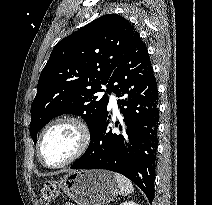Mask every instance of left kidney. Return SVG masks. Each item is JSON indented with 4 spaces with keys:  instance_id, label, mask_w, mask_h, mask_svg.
<instances>
[{
    "instance_id": "1",
    "label": "left kidney",
    "mask_w": 212,
    "mask_h": 205,
    "mask_svg": "<svg viewBox=\"0 0 212 205\" xmlns=\"http://www.w3.org/2000/svg\"><path fill=\"white\" fill-rule=\"evenodd\" d=\"M121 205H137V204L135 202L129 201V202H124Z\"/></svg>"
}]
</instances>
